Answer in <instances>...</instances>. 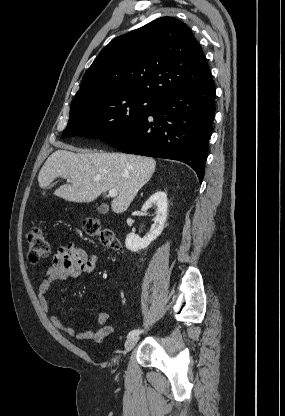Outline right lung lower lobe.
Listing matches in <instances>:
<instances>
[{
    "instance_id": "obj_1",
    "label": "right lung lower lobe",
    "mask_w": 285,
    "mask_h": 416,
    "mask_svg": "<svg viewBox=\"0 0 285 416\" xmlns=\"http://www.w3.org/2000/svg\"><path fill=\"white\" fill-rule=\"evenodd\" d=\"M215 92L211 79L175 94L131 127L102 141L125 153L182 161L195 170L201 183L215 115Z\"/></svg>"
}]
</instances>
